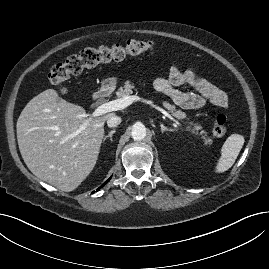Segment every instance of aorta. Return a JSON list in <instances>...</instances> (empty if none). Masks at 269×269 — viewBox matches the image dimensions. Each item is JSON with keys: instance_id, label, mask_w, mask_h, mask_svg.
Masks as SVG:
<instances>
[{"instance_id": "762f6f07", "label": "aorta", "mask_w": 269, "mask_h": 269, "mask_svg": "<svg viewBox=\"0 0 269 269\" xmlns=\"http://www.w3.org/2000/svg\"><path fill=\"white\" fill-rule=\"evenodd\" d=\"M131 136L136 141H141L146 137V127L142 123H135L132 126Z\"/></svg>"}]
</instances>
